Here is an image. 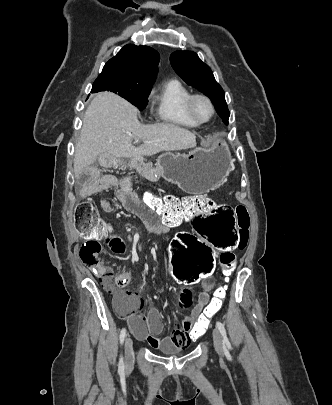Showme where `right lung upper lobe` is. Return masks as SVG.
<instances>
[{"mask_svg":"<svg viewBox=\"0 0 332 405\" xmlns=\"http://www.w3.org/2000/svg\"><path fill=\"white\" fill-rule=\"evenodd\" d=\"M159 59V53L151 47L128 44L105 64L102 74L114 73L137 81L154 82Z\"/></svg>","mask_w":332,"mask_h":405,"instance_id":"right-lung-upper-lobe-1","label":"right lung upper lobe"}]
</instances>
